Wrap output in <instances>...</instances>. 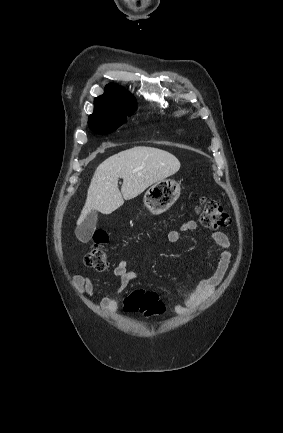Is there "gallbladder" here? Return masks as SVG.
<instances>
[{
	"mask_svg": "<svg viewBox=\"0 0 283 433\" xmlns=\"http://www.w3.org/2000/svg\"><path fill=\"white\" fill-rule=\"evenodd\" d=\"M97 221V210H91V212H88L86 219H84L83 223H81V225H79V227H77L75 231L77 239H79V241H82V243H89L96 229Z\"/></svg>",
	"mask_w": 283,
	"mask_h": 433,
	"instance_id": "gallbladder-1",
	"label": "gallbladder"
}]
</instances>
